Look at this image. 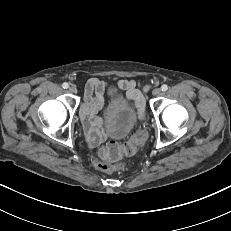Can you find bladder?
I'll return each mask as SVG.
<instances>
[{
  "label": "bladder",
  "mask_w": 231,
  "mask_h": 231,
  "mask_svg": "<svg viewBox=\"0 0 231 231\" xmlns=\"http://www.w3.org/2000/svg\"><path fill=\"white\" fill-rule=\"evenodd\" d=\"M109 134L113 138H124L136 124V113L123 99H114L109 108Z\"/></svg>",
  "instance_id": "31cf9c89"
}]
</instances>
